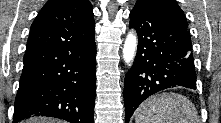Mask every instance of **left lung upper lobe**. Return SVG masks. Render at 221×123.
Returning <instances> with one entry per match:
<instances>
[{"label":"left lung upper lobe","instance_id":"obj_1","mask_svg":"<svg viewBox=\"0 0 221 123\" xmlns=\"http://www.w3.org/2000/svg\"><path fill=\"white\" fill-rule=\"evenodd\" d=\"M153 15L165 19L181 28H188L183 11L175 0H138Z\"/></svg>","mask_w":221,"mask_h":123}]
</instances>
